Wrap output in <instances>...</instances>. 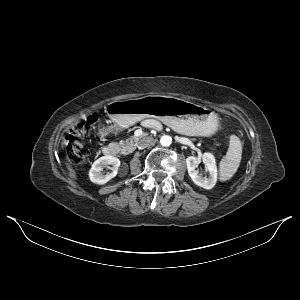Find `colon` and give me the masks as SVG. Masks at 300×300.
I'll use <instances>...</instances> for the list:
<instances>
[{
  "label": "colon",
  "mask_w": 300,
  "mask_h": 300,
  "mask_svg": "<svg viewBox=\"0 0 300 300\" xmlns=\"http://www.w3.org/2000/svg\"><path fill=\"white\" fill-rule=\"evenodd\" d=\"M96 119L95 115H91L69 128L64 138L66 157L69 162L80 164L89 155V149L83 143V139Z\"/></svg>",
  "instance_id": "1"
}]
</instances>
